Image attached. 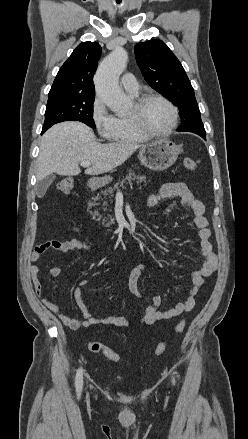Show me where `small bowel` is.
Instances as JSON below:
<instances>
[{
    "mask_svg": "<svg viewBox=\"0 0 248 439\" xmlns=\"http://www.w3.org/2000/svg\"><path fill=\"white\" fill-rule=\"evenodd\" d=\"M173 197L178 198V200L171 202L166 207L164 214L169 213L178 205H181L192 211L194 215L193 225L198 230L197 235L201 249L202 264L200 268L192 272V287L188 293V296L183 302L177 303L169 310L161 311L160 307L162 298L159 295L152 297L149 305L146 308L145 314L140 319V322L145 325H151L157 321L171 319L191 311L195 306V298L199 294L205 278L212 275L217 269L218 261L215 253L212 250L211 231L208 228V220L205 217V206L200 200L194 197L185 183L176 182L164 184L157 194L149 197L148 206L153 207L160 200ZM49 249L55 250L62 256H66L76 250L92 251L93 246L80 239H72L61 243H46L39 245L34 249L30 256V261L32 263L37 262L40 257ZM145 268L146 265L144 263H139L131 271L129 277V289L138 298H142V293L139 290V280ZM61 272L62 267L60 265H54L50 269V274L54 277L59 276ZM38 273L39 267L37 265H32L30 267V275L32 279V286L36 295L40 297L42 303L50 311L55 313L58 318L69 328L76 330L80 327H90L95 324H103L121 328L129 326V321L125 317L121 316L118 312L101 319L94 318L91 315L88 307L84 303L81 293V288L86 286L88 283L86 279L80 280L72 293L74 302L80 309L82 317H69L61 310L60 305L57 302L52 301L47 296L42 295V284L38 278Z\"/></svg>",
    "mask_w": 248,
    "mask_h": 439,
    "instance_id": "small-bowel-1",
    "label": "small bowel"
}]
</instances>
